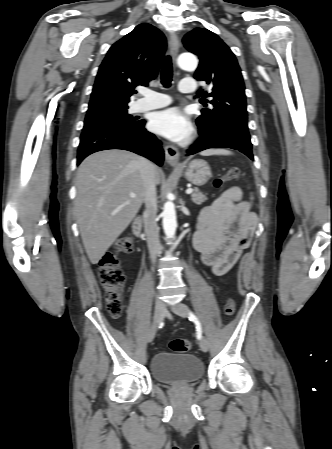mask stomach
<instances>
[{
  "label": "stomach",
  "instance_id": "stomach-1",
  "mask_svg": "<svg viewBox=\"0 0 332 449\" xmlns=\"http://www.w3.org/2000/svg\"><path fill=\"white\" fill-rule=\"evenodd\" d=\"M183 170L185 178L196 186L206 184L212 176L208 163L202 159L186 162L180 169V171Z\"/></svg>",
  "mask_w": 332,
  "mask_h": 449
}]
</instances>
